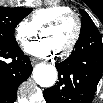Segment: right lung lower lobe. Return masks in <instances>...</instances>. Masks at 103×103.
<instances>
[{
  "label": "right lung lower lobe",
  "instance_id": "98d812e1",
  "mask_svg": "<svg viewBox=\"0 0 103 103\" xmlns=\"http://www.w3.org/2000/svg\"><path fill=\"white\" fill-rule=\"evenodd\" d=\"M6 59H11V62L7 63ZM31 72L30 59L18 44H0V103H13L19 85L27 80Z\"/></svg>",
  "mask_w": 103,
  "mask_h": 103
}]
</instances>
